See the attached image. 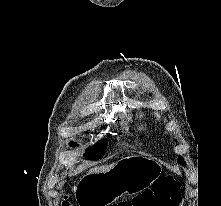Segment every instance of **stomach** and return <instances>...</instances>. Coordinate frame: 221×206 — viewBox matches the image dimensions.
<instances>
[{"label": "stomach", "instance_id": "obj_1", "mask_svg": "<svg viewBox=\"0 0 221 206\" xmlns=\"http://www.w3.org/2000/svg\"><path fill=\"white\" fill-rule=\"evenodd\" d=\"M153 158L130 156L119 160L106 173L87 174L84 194H78V206H109L123 194H136L150 187L161 173Z\"/></svg>", "mask_w": 221, "mask_h": 206}]
</instances>
